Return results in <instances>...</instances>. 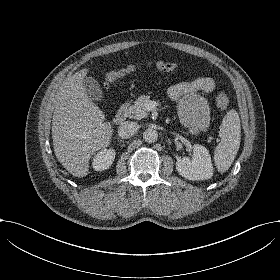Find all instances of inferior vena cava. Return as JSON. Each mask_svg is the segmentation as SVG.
<instances>
[{
    "label": "inferior vena cava",
    "mask_w": 280,
    "mask_h": 280,
    "mask_svg": "<svg viewBox=\"0 0 280 280\" xmlns=\"http://www.w3.org/2000/svg\"><path fill=\"white\" fill-rule=\"evenodd\" d=\"M138 130V125L133 122H124L118 127V135L122 139L132 137Z\"/></svg>",
    "instance_id": "1"
}]
</instances>
